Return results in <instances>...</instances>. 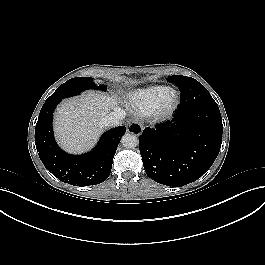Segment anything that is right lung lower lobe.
Returning a JSON list of instances; mask_svg holds the SVG:
<instances>
[{
    "instance_id": "98d812e1",
    "label": "right lung lower lobe",
    "mask_w": 265,
    "mask_h": 265,
    "mask_svg": "<svg viewBox=\"0 0 265 265\" xmlns=\"http://www.w3.org/2000/svg\"><path fill=\"white\" fill-rule=\"evenodd\" d=\"M59 102L44 103L35 127V145L42 163L64 183L80 187L102 183L110 175L113 157L126 127L105 132L95 149L87 154L69 155L58 147L53 135L52 117Z\"/></svg>"
}]
</instances>
